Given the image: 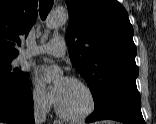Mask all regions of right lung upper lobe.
Instances as JSON below:
<instances>
[{
    "mask_svg": "<svg viewBox=\"0 0 156 124\" xmlns=\"http://www.w3.org/2000/svg\"><path fill=\"white\" fill-rule=\"evenodd\" d=\"M38 0H0V60L18 55L16 46L27 36L37 17Z\"/></svg>",
    "mask_w": 156,
    "mask_h": 124,
    "instance_id": "cb5924a9",
    "label": "right lung upper lobe"
}]
</instances>
